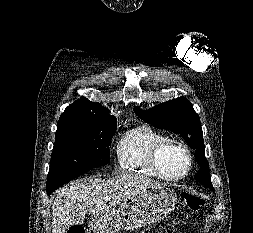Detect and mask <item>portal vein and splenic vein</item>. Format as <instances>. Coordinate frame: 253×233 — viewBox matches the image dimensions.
<instances>
[{
  "label": "portal vein and splenic vein",
  "instance_id": "18ae733b",
  "mask_svg": "<svg viewBox=\"0 0 253 233\" xmlns=\"http://www.w3.org/2000/svg\"><path fill=\"white\" fill-rule=\"evenodd\" d=\"M111 199V196H106L105 201H109Z\"/></svg>",
  "mask_w": 253,
  "mask_h": 233
}]
</instances>
